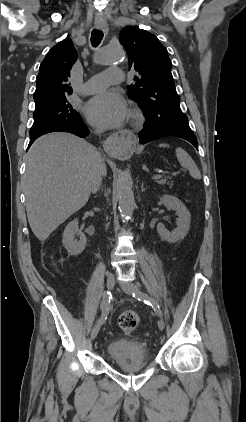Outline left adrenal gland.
<instances>
[{"mask_svg":"<svg viewBox=\"0 0 246 422\" xmlns=\"http://www.w3.org/2000/svg\"><path fill=\"white\" fill-rule=\"evenodd\" d=\"M145 188H144V183L141 184V192H144Z\"/></svg>","mask_w":246,"mask_h":422,"instance_id":"left-adrenal-gland-1","label":"left adrenal gland"}]
</instances>
